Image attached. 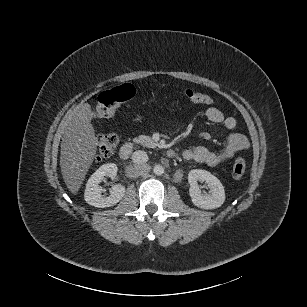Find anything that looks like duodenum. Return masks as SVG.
I'll return each instance as SVG.
<instances>
[{
    "label": "duodenum",
    "mask_w": 307,
    "mask_h": 307,
    "mask_svg": "<svg viewBox=\"0 0 307 307\" xmlns=\"http://www.w3.org/2000/svg\"><path fill=\"white\" fill-rule=\"evenodd\" d=\"M133 148H134L133 143H131V142L124 143L119 150L120 158L123 159V160L128 159L133 152ZM166 154L170 158H176L177 157V152L173 149L167 150Z\"/></svg>",
    "instance_id": "duodenum-1"
}]
</instances>
